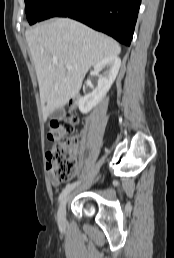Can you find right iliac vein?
I'll use <instances>...</instances> for the list:
<instances>
[{"instance_id": "right-iliac-vein-1", "label": "right iliac vein", "mask_w": 174, "mask_h": 258, "mask_svg": "<svg viewBox=\"0 0 174 258\" xmlns=\"http://www.w3.org/2000/svg\"><path fill=\"white\" fill-rule=\"evenodd\" d=\"M69 196H66L62 199L57 213V220L58 223H63L65 220V214H66V204L68 202Z\"/></svg>"}]
</instances>
